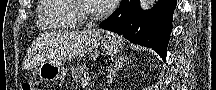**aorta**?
Segmentation results:
<instances>
[{
	"mask_svg": "<svg viewBox=\"0 0 216 90\" xmlns=\"http://www.w3.org/2000/svg\"><path fill=\"white\" fill-rule=\"evenodd\" d=\"M155 4V0H140L141 10H151Z\"/></svg>",
	"mask_w": 216,
	"mask_h": 90,
	"instance_id": "762f6f07",
	"label": "aorta"
}]
</instances>
